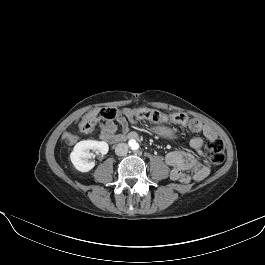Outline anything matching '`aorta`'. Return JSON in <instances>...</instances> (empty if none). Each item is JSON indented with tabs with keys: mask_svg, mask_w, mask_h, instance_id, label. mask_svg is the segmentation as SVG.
<instances>
[{
	"mask_svg": "<svg viewBox=\"0 0 265 265\" xmlns=\"http://www.w3.org/2000/svg\"><path fill=\"white\" fill-rule=\"evenodd\" d=\"M129 146H130V148H131L132 150H136V149H138L139 144L137 143L136 140L131 139V140L129 141Z\"/></svg>",
	"mask_w": 265,
	"mask_h": 265,
	"instance_id": "aorta-1",
	"label": "aorta"
}]
</instances>
